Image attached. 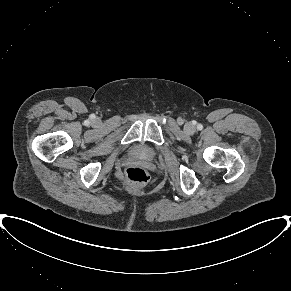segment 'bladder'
<instances>
[{
  "label": "bladder",
  "mask_w": 291,
  "mask_h": 291,
  "mask_svg": "<svg viewBox=\"0 0 291 291\" xmlns=\"http://www.w3.org/2000/svg\"><path fill=\"white\" fill-rule=\"evenodd\" d=\"M133 154L143 158H152L155 152L153 148L146 144H138L133 148Z\"/></svg>",
  "instance_id": "1"
}]
</instances>
